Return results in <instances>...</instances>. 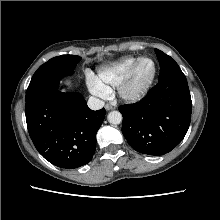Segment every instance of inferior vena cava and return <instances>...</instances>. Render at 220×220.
Here are the masks:
<instances>
[{"mask_svg":"<svg viewBox=\"0 0 220 220\" xmlns=\"http://www.w3.org/2000/svg\"><path fill=\"white\" fill-rule=\"evenodd\" d=\"M88 107L92 110H99L101 108H103L104 106V101L99 99V98H96V97H90L88 99Z\"/></svg>","mask_w":220,"mask_h":220,"instance_id":"obj_1","label":"inferior vena cava"}]
</instances>
